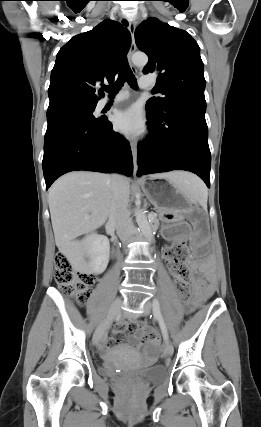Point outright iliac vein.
I'll return each instance as SVG.
<instances>
[{
  "mask_svg": "<svg viewBox=\"0 0 261 427\" xmlns=\"http://www.w3.org/2000/svg\"><path fill=\"white\" fill-rule=\"evenodd\" d=\"M122 299L117 298L114 303L112 304L107 317L105 320L98 326L96 329L94 335H93V343L97 345L99 341L101 340L102 336L104 335L105 331L108 329V327L111 325L114 318L118 315V313L121 310L122 307Z\"/></svg>",
  "mask_w": 261,
  "mask_h": 427,
  "instance_id": "right-iliac-vein-1",
  "label": "right iliac vein"
}]
</instances>
